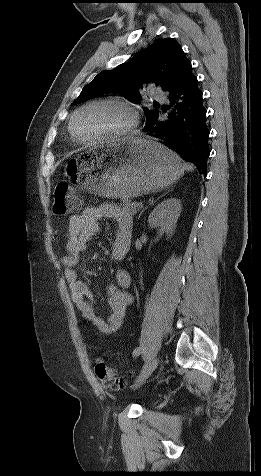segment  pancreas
<instances>
[{
	"label": "pancreas",
	"instance_id": "pancreas-1",
	"mask_svg": "<svg viewBox=\"0 0 261 476\" xmlns=\"http://www.w3.org/2000/svg\"><path fill=\"white\" fill-rule=\"evenodd\" d=\"M122 206H123V211L131 215L136 214L137 211H139L141 208V206H139L137 202H132L129 200L123 201Z\"/></svg>",
	"mask_w": 261,
	"mask_h": 476
}]
</instances>
